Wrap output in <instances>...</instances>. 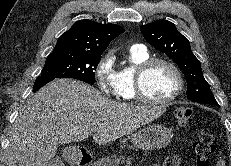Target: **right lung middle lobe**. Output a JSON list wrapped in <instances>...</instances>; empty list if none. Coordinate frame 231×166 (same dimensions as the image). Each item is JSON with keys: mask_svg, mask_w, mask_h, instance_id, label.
<instances>
[{"mask_svg": "<svg viewBox=\"0 0 231 166\" xmlns=\"http://www.w3.org/2000/svg\"><path fill=\"white\" fill-rule=\"evenodd\" d=\"M101 55L67 49L53 50L46 59L40 76L73 78L89 84L95 83V70Z\"/></svg>", "mask_w": 231, "mask_h": 166, "instance_id": "right-lung-middle-lobe-1", "label": "right lung middle lobe"}]
</instances>
